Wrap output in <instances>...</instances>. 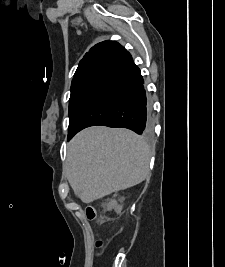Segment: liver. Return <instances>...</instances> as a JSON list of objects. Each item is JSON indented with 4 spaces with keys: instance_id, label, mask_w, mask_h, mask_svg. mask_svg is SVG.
Segmentation results:
<instances>
[{
    "instance_id": "1",
    "label": "liver",
    "mask_w": 225,
    "mask_h": 267,
    "mask_svg": "<svg viewBox=\"0 0 225 267\" xmlns=\"http://www.w3.org/2000/svg\"><path fill=\"white\" fill-rule=\"evenodd\" d=\"M150 158V147L134 132L93 126L69 142L66 175L73 190L88 204L144 181Z\"/></svg>"
}]
</instances>
